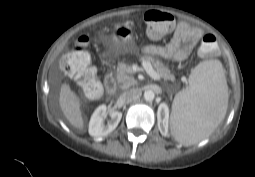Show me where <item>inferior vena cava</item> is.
I'll list each match as a JSON object with an SVG mask.
<instances>
[{"label":"inferior vena cava","instance_id":"602c4592","mask_svg":"<svg viewBox=\"0 0 255 177\" xmlns=\"http://www.w3.org/2000/svg\"><path fill=\"white\" fill-rule=\"evenodd\" d=\"M140 90L139 89H129L127 91H125L123 94H122V98L127 101V102H130V101H133L135 100L136 98H138L140 96Z\"/></svg>","mask_w":255,"mask_h":177}]
</instances>
